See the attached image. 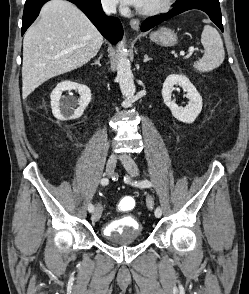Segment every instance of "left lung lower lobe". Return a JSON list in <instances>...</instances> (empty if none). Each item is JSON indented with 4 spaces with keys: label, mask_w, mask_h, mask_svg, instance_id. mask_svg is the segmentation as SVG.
Masks as SVG:
<instances>
[{
    "label": "left lung lower lobe",
    "mask_w": 249,
    "mask_h": 294,
    "mask_svg": "<svg viewBox=\"0 0 249 294\" xmlns=\"http://www.w3.org/2000/svg\"><path fill=\"white\" fill-rule=\"evenodd\" d=\"M191 9H199L206 12L210 19L221 29V31H223L221 11L218 0H178L175 3V7L168 13L160 16L150 17L144 21L141 30L143 32L147 31L162 21Z\"/></svg>",
    "instance_id": "0a47b994"
}]
</instances>
